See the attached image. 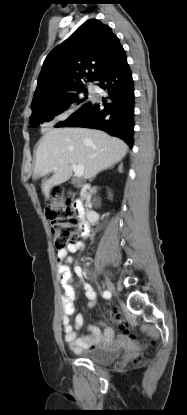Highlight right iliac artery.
Returning a JSON list of instances; mask_svg holds the SVG:
<instances>
[{
    "instance_id": "right-iliac-artery-1",
    "label": "right iliac artery",
    "mask_w": 187,
    "mask_h": 415,
    "mask_svg": "<svg viewBox=\"0 0 187 415\" xmlns=\"http://www.w3.org/2000/svg\"><path fill=\"white\" fill-rule=\"evenodd\" d=\"M102 295H103L104 298H110L111 297V293L107 290L104 291Z\"/></svg>"
}]
</instances>
